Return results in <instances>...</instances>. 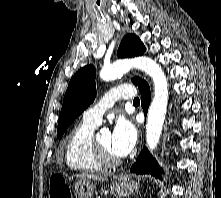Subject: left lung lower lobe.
<instances>
[{
    "instance_id": "1",
    "label": "left lung lower lobe",
    "mask_w": 221,
    "mask_h": 198,
    "mask_svg": "<svg viewBox=\"0 0 221 198\" xmlns=\"http://www.w3.org/2000/svg\"><path fill=\"white\" fill-rule=\"evenodd\" d=\"M141 93V106L146 114L150 104V88L147 82H143L139 87ZM130 172L136 174H151L159 177L162 174V169L158 166L156 160L151 156L146 147L143 148L136 162L130 169Z\"/></svg>"
}]
</instances>
